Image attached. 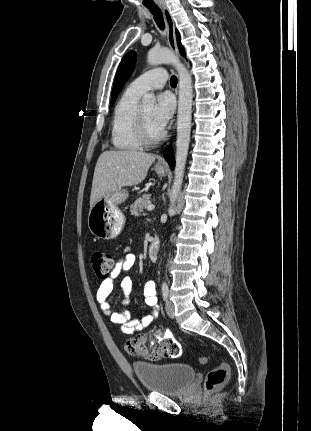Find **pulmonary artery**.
<instances>
[{
	"instance_id": "1",
	"label": "pulmonary artery",
	"mask_w": 311,
	"mask_h": 431,
	"mask_svg": "<svg viewBox=\"0 0 311 431\" xmlns=\"http://www.w3.org/2000/svg\"><path fill=\"white\" fill-rule=\"evenodd\" d=\"M169 76L165 69L158 67L151 69L140 75L130 83L128 89L138 95L152 89H159L165 86Z\"/></svg>"
}]
</instances>
